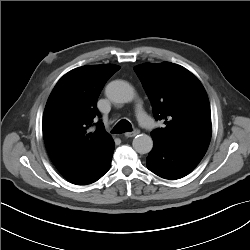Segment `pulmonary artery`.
Returning a JSON list of instances; mask_svg holds the SVG:
<instances>
[{
    "mask_svg": "<svg viewBox=\"0 0 250 250\" xmlns=\"http://www.w3.org/2000/svg\"><path fill=\"white\" fill-rule=\"evenodd\" d=\"M137 118L139 122L144 126V127H151L153 122L152 119L148 116V114L145 112V110L141 107L138 106L137 110Z\"/></svg>",
    "mask_w": 250,
    "mask_h": 250,
    "instance_id": "pulmonary-artery-1",
    "label": "pulmonary artery"
}]
</instances>
